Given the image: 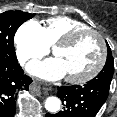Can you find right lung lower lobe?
<instances>
[{
    "label": "right lung lower lobe",
    "mask_w": 117,
    "mask_h": 117,
    "mask_svg": "<svg viewBox=\"0 0 117 117\" xmlns=\"http://www.w3.org/2000/svg\"><path fill=\"white\" fill-rule=\"evenodd\" d=\"M32 79L24 75L18 61L0 62V117H13L16 111L15 100L21 90H28Z\"/></svg>",
    "instance_id": "98d812e1"
}]
</instances>
